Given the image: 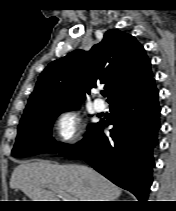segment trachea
I'll return each instance as SVG.
<instances>
[{
	"label": "trachea",
	"mask_w": 176,
	"mask_h": 211,
	"mask_svg": "<svg viewBox=\"0 0 176 211\" xmlns=\"http://www.w3.org/2000/svg\"><path fill=\"white\" fill-rule=\"evenodd\" d=\"M101 94H102L104 97H106V96L108 95V93L105 92V91H102Z\"/></svg>",
	"instance_id": "3493384b"
}]
</instances>
